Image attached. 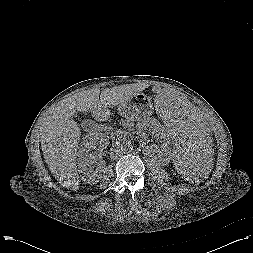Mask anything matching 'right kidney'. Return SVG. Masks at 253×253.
<instances>
[{
  "mask_svg": "<svg viewBox=\"0 0 253 253\" xmlns=\"http://www.w3.org/2000/svg\"><path fill=\"white\" fill-rule=\"evenodd\" d=\"M108 145V139L99 133H89L82 139L77 152L78 172L82 181L94 185L101 178V170H93V165L102 156ZM95 150V151H94Z\"/></svg>",
  "mask_w": 253,
  "mask_h": 253,
  "instance_id": "1",
  "label": "right kidney"
}]
</instances>
